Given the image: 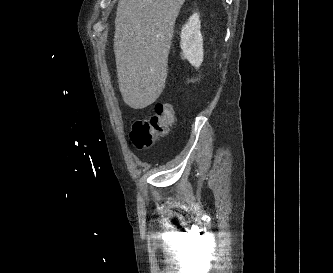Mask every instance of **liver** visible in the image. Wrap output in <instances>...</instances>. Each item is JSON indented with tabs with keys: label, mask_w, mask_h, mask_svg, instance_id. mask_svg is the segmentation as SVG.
Returning <instances> with one entry per match:
<instances>
[{
	"label": "liver",
	"mask_w": 333,
	"mask_h": 273,
	"mask_svg": "<svg viewBox=\"0 0 333 273\" xmlns=\"http://www.w3.org/2000/svg\"><path fill=\"white\" fill-rule=\"evenodd\" d=\"M185 0H120L114 53L119 89L133 109L153 104L167 78L176 18Z\"/></svg>",
	"instance_id": "1"
}]
</instances>
